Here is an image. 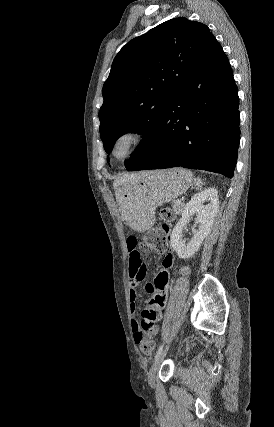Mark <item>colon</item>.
<instances>
[{"mask_svg": "<svg viewBox=\"0 0 274 427\" xmlns=\"http://www.w3.org/2000/svg\"><path fill=\"white\" fill-rule=\"evenodd\" d=\"M161 217L163 220L161 227L154 226L146 235L141 237L142 243L141 245H139L140 257H147V254L151 251H154L155 248L168 247L169 223L172 221L174 217L173 209L164 208L161 212ZM156 344H157V339L151 338L150 341H145L144 345L140 346L139 348L140 353L147 354V355H138L137 357L138 364H149L150 362L149 355L153 353Z\"/></svg>", "mask_w": 274, "mask_h": 427, "instance_id": "5ec220e1", "label": "colon"}]
</instances>
